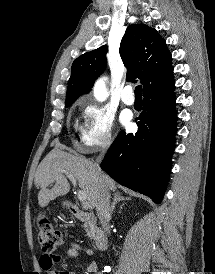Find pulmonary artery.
<instances>
[{
    "label": "pulmonary artery",
    "mask_w": 215,
    "mask_h": 274,
    "mask_svg": "<svg viewBox=\"0 0 215 274\" xmlns=\"http://www.w3.org/2000/svg\"><path fill=\"white\" fill-rule=\"evenodd\" d=\"M121 99L124 104L126 105H133L135 102L133 93H132V87L131 86H125L121 93Z\"/></svg>",
    "instance_id": "obj_1"
}]
</instances>
